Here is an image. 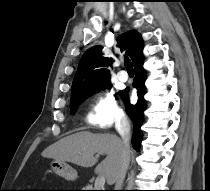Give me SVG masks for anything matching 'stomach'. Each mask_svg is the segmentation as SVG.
<instances>
[{"instance_id": "obj_1", "label": "stomach", "mask_w": 210, "mask_h": 191, "mask_svg": "<svg viewBox=\"0 0 210 191\" xmlns=\"http://www.w3.org/2000/svg\"><path fill=\"white\" fill-rule=\"evenodd\" d=\"M52 170L65 180L74 181L77 179V171L69 164L63 161L53 160L51 162Z\"/></svg>"}]
</instances>
